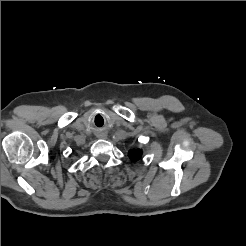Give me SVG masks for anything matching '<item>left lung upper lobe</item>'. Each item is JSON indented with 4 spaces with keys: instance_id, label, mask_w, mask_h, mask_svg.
Instances as JSON below:
<instances>
[{
    "instance_id": "1",
    "label": "left lung upper lobe",
    "mask_w": 246,
    "mask_h": 246,
    "mask_svg": "<svg viewBox=\"0 0 246 246\" xmlns=\"http://www.w3.org/2000/svg\"><path fill=\"white\" fill-rule=\"evenodd\" d=\"M142 155V151L140 149H137V150H130L128 152V156L129 158H131L133 161H136L138 160Z\"/></svg>"
}]
</instances>
